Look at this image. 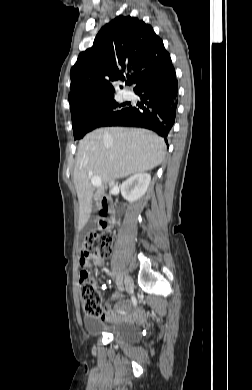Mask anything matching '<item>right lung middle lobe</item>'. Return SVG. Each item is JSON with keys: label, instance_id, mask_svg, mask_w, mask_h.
<instances>
[{"label": "right lung middle lobe", "instance_id": "obj_1", "mask_svg": "<svg viewBox=\"0 0 252 390\" xmlns=\"http://www.w3.org/2000/svg\"><path fill=\"white\" fill-rule=\"evenodd\" d=\"M129 103L118 104L114 95L80 105L71 110L74 139H81L95 128L107 126L125 113Z\"/></svg>", "mask_w": 252, "mask_h": 390}]
</instances>
